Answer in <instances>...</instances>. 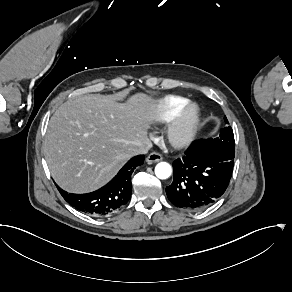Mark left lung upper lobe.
Here are the masks:
<instances>
[{"label": "left lung upper lobe", "mask_w": 292, "mask_h": 292, "mask_svg": "<svg viewBox=\"0 0 292 292\" xmlns=\"http://www.w3.org/2000/svg\"><path fill=\"white\" fill-rule=\"evenodd\" d=\"M225 123H228L224 117ZM201 148H211L226 154L235 155V140L233 130L230 126H226L220 130L217 138L203 139Z\"/></svg>", "instance_id": "left-lung-upper-lobe-1"}]
</instances>
